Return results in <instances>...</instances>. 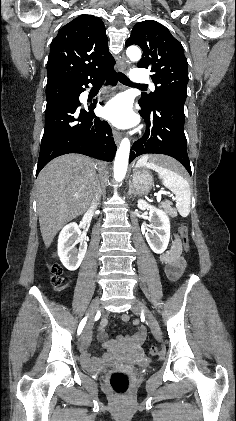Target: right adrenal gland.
Masks as SVG:
<instances>
[{"label":"right adrenal gland","instance_id":"obj_1","mask_svg":"<svg viewBox=\"0 0 236 421\" xmlns=\"http://www.w3.org/2000/svg\"><path fill=\"white\" fill-rule=\"evenodd\" d=\"M101 194H102V190H101V188H100L99 196H101Z\"/></svg>","mask_w":236,"mask_h":421}]
</instances>
